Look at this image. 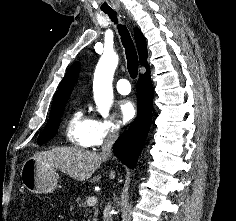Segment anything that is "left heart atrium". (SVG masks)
Listing matches in <instances>:
<instances>
[{"label": "left heart atrium", "mask_w": 236, "mask_h": 221, "mask_svg": "<svg viewBox=\"0 0 236 221\" xmlns=\"http://www.w3.org/2000/svg\"><path fill=\"white\" fill-rule=\"evenodd\" d=\"M119 114L124 123L131 121L136 114L135 106L129 99H122L118 103Z\"/></svg>", "instance_id": "39dd6f15"}]
</instances>
